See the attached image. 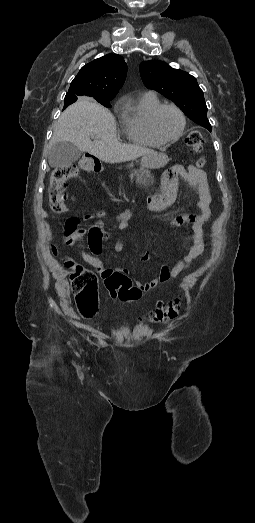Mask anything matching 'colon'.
Returning <instances> with one entry per match:
<instances>
[{
  "instance_id": "colon-1",
  "label": "colon",
  "mask_w": 255,
  "mask_h": 523,
  "mask_svg": "<svg viewBox=\"0 0 255 523\" xmlns=\"http://www.w3.org/2000/svg\"><path fill=\"white\" fill-rule=\"evenodd\" d=\"M185 142L194 152L199 153L205 142L200 131L190 130ZM205 159L198 160V166H203ZM78 170L74 165H65L53 170L50 181L49 199L51 209L58 214L65 213V185L66 182L77 177ZM52 251L57 255L55 246ZM64 263L71 269V286L75 301L80 314L83 317H93L98 311V285L95 274L80 266L70 258H64ZM105 285L111 297L122 301L133 302L142 297V290L133 285L132 281L119 272L108 273L105 277ZM179 312L178 300L166 304H159L150 319L155 322H165L177 317Z\"/></svg>"
}]
</instances>
